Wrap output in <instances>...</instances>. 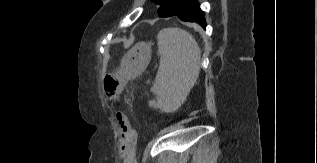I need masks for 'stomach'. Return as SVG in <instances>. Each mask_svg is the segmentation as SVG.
Returning <instances> with one entry per match:
<instances>
[{"instance_id": "1", "label": "stomach", "mask_w": 317, "mask_h": 163, "mask_svg": "<svg viewBox=\"0 0 317 163\" xmlns=\"http://www.w3.org/2000/svg\"><path fill=\"white\" fill-rule=\"evenodd\" d=\"M151 59V46L145 42L137 43L123 56L119 73L125 78H133L143 72Z\"/></svg>"}]
</instances>
